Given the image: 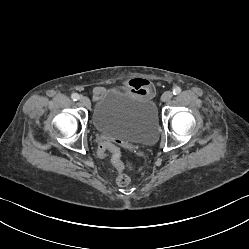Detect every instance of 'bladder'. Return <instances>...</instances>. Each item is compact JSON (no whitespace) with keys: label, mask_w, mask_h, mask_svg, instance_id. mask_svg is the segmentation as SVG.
<instances>
[{"label":"bladder","mask_w":249,"mask_h":249,"mask_svg":"<svg viewBox=\"0 0 249 249\" xmlns=\"http://www.w3.org/2000/svg\"><path fill=\"white\" fill-rule=\"evenodd\" d=\"M93 124L99 132L130 144H152L158 135V115L151 98L128 90L109 89L96 103Z\"/></svg>","instance_id":"bladder-1"}]
</instances>
